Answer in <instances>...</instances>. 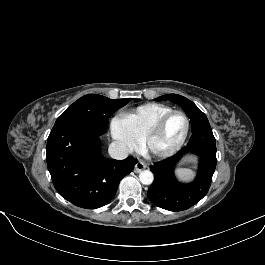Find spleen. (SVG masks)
<instances>
[{"label":"spleen","instance_id":"obj_1","mask_svg":"<svg viewBox=\"0 0 265 265\" xmlns=\"http://www.w3.org/2000/svg\"><path fill=\"white\" fill-rule=\"evenodd\" d=\"M176 173L179 177L185 178V179H190L194 176V172L187 168H178L176 170Z\"/></svg>","mask_w":265,"mask_h":265}]
</instances>
